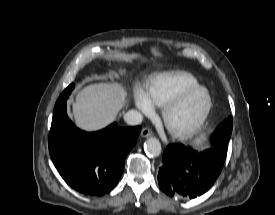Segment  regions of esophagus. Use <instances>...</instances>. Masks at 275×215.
Returning <instances> with one entry per match:
<instances>
[{"label":"esophagus","instance_id":"1","mask_svg":"<svg viewBox=\"0 0 275 215\" xmlns=\"http://www.w3.org/2000/svg\"><path fill=\"white\" fill-rule=\"evenodd\" d=\"M153 135V132L150 128H143L142 131H141V136L146 138V137H150Z\"/></svg>","mask_w":275,"mask_h":215}]
</instances>
